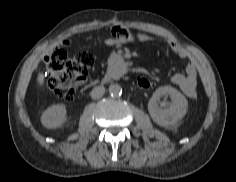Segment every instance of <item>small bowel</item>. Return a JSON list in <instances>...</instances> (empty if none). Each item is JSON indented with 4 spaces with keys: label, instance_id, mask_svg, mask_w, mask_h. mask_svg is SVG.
<instances>
[{
    "label": "small bowel",
    "instance_id": "small-bowel-1",
    "mask_svg": "<svg viewBox=\"0 0 236 182\" xmlns=\"http://www.w3.org/2000/svg\"><path fill=\"white\" fill-rule=\"evenodd\" d=\"M112 37L107 39L105 44L108 47H117L123 44L132 43L135 41L145 42L149 41L151 37L147 34L141 33L133 35L128 29L122 26H114L111 30ZM166 43L171 51H173L179 58L187 61L185 73H176L170 77V81L178 86L180 90L189 98L197 96V80L198 72L197 65L190 53L175 40L166 39ZM64 46H69L70 41L64 40Z\"/></svg>",
    "mask_w": 236,
    "mask_h": 182
}]
</instances>
